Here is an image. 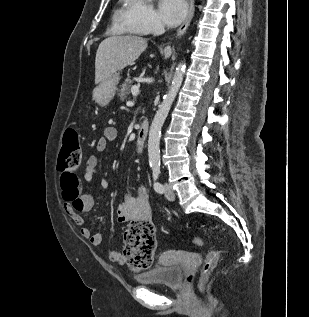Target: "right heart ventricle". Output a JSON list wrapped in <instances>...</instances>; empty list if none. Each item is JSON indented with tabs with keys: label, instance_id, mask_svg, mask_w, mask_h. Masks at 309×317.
<instances>
[{
	"label": "right heart ventricle",
	"instance_id": "1",
	"mask_svg": "<svg viewBox=\"0 0 309 317\" xmlns=\"http://www.w3.org/2000/svg\"><path fill=\"white\" fill-rule=\"evenodd\" d=\"M122 13H123V9L119 10L118 16H119L120 18H122ZM125 30H126V31H130V30H128L127 28H125Z\"/></svg>",
	"mask_w": 309,
	"mask_h": 317
}]
</instances>
